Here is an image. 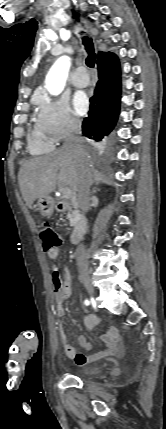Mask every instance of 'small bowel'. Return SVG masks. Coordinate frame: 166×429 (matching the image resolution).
<instances>
[{
    "label": "small bowel",
    "instance_id": "small-bowel-1",
    "mask_svg": "<svg viewBox=\"0 0 166 429\" xmlns=\"http://www.w3.org/2000/svg\"><path fill=\"white\" fill-rule=\"evenodd\" d=\"M48 257L52 260H56L60 256L59 249H54L47 252ZM51 283L53 288V294L56 301L55 312L59 318L65 315L64 302L69 298L72 292V284L69 270L64 268L63 271L52 265L50 267ZM100 319L95 315H88L83 319V324L88 330H93ZM59 335L62 347L65 354L73 359L78 366H84L86 364L98 361L107 356L116 353L119 350L118 346V332L115 327L108 328L101 336L100 342L102 348L94 353L77 352L75 347L70 345L67 340V336L64 332L63 326H59ZM78 342L81 347L86 351H92V345L89 343L84 336L78 337Z\"/></svg>",
    "mask_w": 166,
    "mask_h": 429
}]
</instances>
